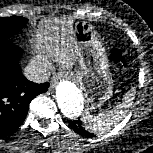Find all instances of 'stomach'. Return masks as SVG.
<instances>
[{
    "instance_id": "stomach-1",
    "label": "stomach",
    "mask_w": 153,
    "mask_h": 153,
    "mask_svg": "<svg viewBox=\"0 0 153 153\" xmlns=\"http://www.w3.org/2000/svg\"><path fill=\"white\" fill-rule=\"evenodd\" d=\"M73 30L72 38L80 66L76 79L84 92L87 106L95 109L107 102L113 93L107 53L90 23L78 21Z\"/></svg>"
}]
</instances>
